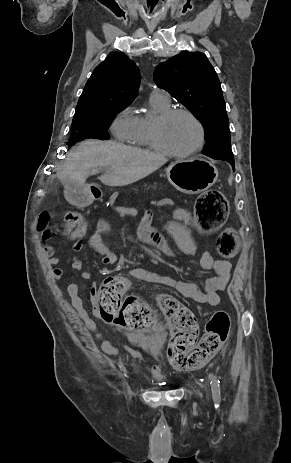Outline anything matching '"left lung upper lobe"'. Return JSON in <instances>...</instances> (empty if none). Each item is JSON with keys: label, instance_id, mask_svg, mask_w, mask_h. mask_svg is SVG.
<instances>
[{"label": "left lung upper lobe", "instance_id": "1", "mask_svg": "<svg viewBox=\"0 0 291 463\" xmlns=\"http://www.w3.org/2000/svg\"><path fill=\"white\" fill-rule=\"evenodd\" d=\"M155 83L166 89L202 123L206 132L203 154L213 159H234L229 120L219 78L201 52H181L160 63Z\"/></svg>", "mask_w": 291, "mask_h": 463}]
</instances>
